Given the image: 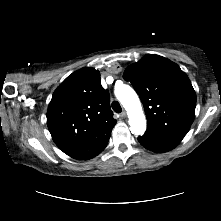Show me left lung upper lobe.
I'll list each match as a JSON object with an SVG mask.
<instances>
[{"instance_id": "left-lung-upper-lobe-1", "label": "left lung upper lobe", "mask_w": 221, "mask_h": 221, "mask_svg": "<svg viewBox=\"0 0 221 221\" xmlns=\"http://www.w3.org/2000/svg\"><path fill=\"white\" fill-rule=\"evenodd\" d=\"M123 78L132 83L139 95L149 128L189 131L195 116L196 94L177 64L149 54L127 67Z\"/></svg>"}]
</instances>
